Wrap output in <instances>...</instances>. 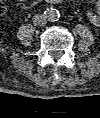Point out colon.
<instances>
[{
    "label": "colon",
    "instance_id": "5ec220e1",
    "mask_svg": "<svg viewBox=\"0 0 100 118\" xmlns=\"http://www.w3.org/2000/svg\"><path fill=\"white\" fill-rule=\"evenodd\" d=\"M3 1H4V0H3ZM4 8H5V6H4V3L2 2V4H1V11H3Z\"/></svg>",
    "mask_w": 100,
    "mask_h": 118
}]
</instances>
